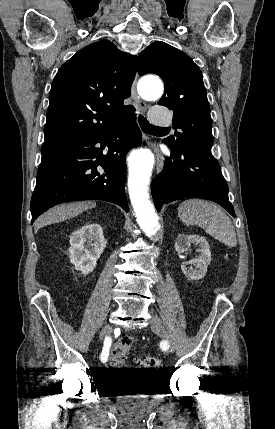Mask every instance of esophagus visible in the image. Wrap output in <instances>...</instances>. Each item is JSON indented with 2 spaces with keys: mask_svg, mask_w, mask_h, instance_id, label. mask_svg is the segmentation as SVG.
<instances>
[{
  "mask_svg": "<svg viewBox=\"0 0 275 429\" xmlns=\"http://www.w3.org/2000/svg\"><path fill=\"white\" fill-rule=\"evenodd\" d=\"M136 82H137V77L135 78L132 84L131 97L137 109L144 112L147 109V104L139 97L136 90ZM153 148L156 155V170H157V173H160L164 164V156L155 145H153Z\"/></svg>",
  "mask_w": 275,
  "mask_h": 429,
  "instance_id": "esophagus-1",
  "label": "esophagus"
}]
</instances>
